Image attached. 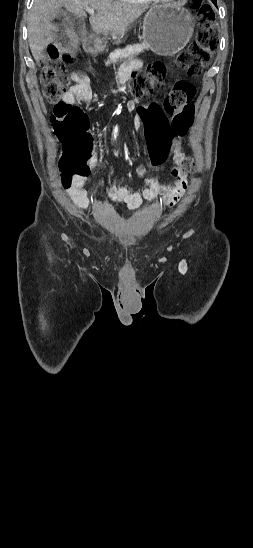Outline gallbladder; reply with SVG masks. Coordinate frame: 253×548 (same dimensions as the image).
Returning a JSON list of instances; mask_svg holds the SVG:
<instances>
[{"mask_svg": "<svg viewBox=\"0 0 253 548\" xmlns=\"http://www.w3.org/2000/svg\"><path fill=\"white\" fill-rule=\"evenodd\" d=\"M67 15V12L66 11H63L61 9H58L55 14H54V17H64Z\"/></svg>", "mask_w": 253, "mask_h": 548, "instance_id": "obj_1", "label": "gallbladder"}]
</instances>
